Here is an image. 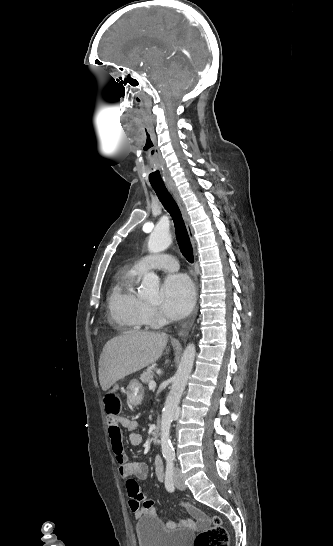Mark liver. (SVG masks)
Returning <instances> with one entry per match:
<instances>
[{
  "mask_svg": "<svg viewBox=\"0 0 333 546\" xmlns=\"http://www.w3.org/2000/svg\"><path fill=\"white\" fill-rule=\"evenodd\" d=\"M167 345L163 333L137 332L108 341L99 359V381L103 391L118 380L158 360Z\"/></svg>",
  "mask_w": 333,
  "mask_h": 546,
  "instance_id": "6515ba94",
  "label": "liver"
}]
</instances>
